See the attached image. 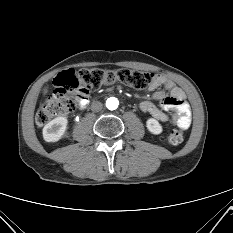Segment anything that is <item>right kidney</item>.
<instances>
[{"label": "right kidney", "instance_id": "right-kidney-1", "mask_svg": "<svg viewBox=\"0 0 233 233\" xmlns=\"http://www.w3.org/2000/svg\"><path fill=\"white\" fill-rule=\"evenodd\" d=\"M68 120L66 117H57L48 122L43 128V138L46 142H57L64 135L67 129Z\"/></svg>", "mask_w": 233, "mask_h": 233}]
</instances>
